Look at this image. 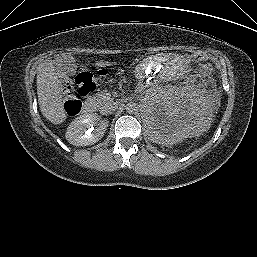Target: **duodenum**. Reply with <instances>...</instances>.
<instances>
[{
  "mask_svg": "<svg viewBox=\"0 0 257 257\" xmlns=\"http://www.w3.org/2000/svg\"><path fill=\"white\" fill-rule=\"evenodd\" d=\"M82 111L86 115H92L95 112V106L92 102H87L83 105Z\"/></svg>",
  "mask_w": 257,
  "mask_h": 257,
  "instance_id": "1",
  "label": "duodenum"
}]
</instances>
